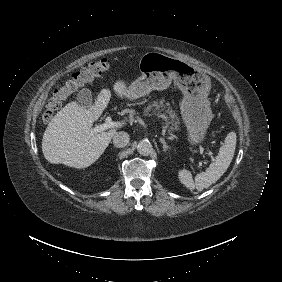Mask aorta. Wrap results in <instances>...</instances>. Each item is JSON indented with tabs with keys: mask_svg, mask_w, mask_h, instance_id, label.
<instances>
[{
	"mask_svg": "<svg viewBox=\"0 0 282 282\" xmlns=\"http://www.w3.org/2000/svg\"><path fill=\"white\" fill-rule=\"evenodd\" d=\"M152 149V144L147 139L141 140L137 145L138 153L143 156H148Z\"/></svg>",
	"mask_w": 282,
	"mask_h": 282,
	"instance_id": "obj_1",
	"label": "aorta"
}]
</instances>
